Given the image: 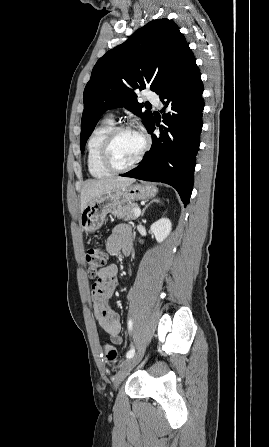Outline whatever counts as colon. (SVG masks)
<instances>
[{"label":"colon","instance_id":"colon-1","mask_svg":"<svg viewBox=\"0 0 269 447\" xmlns=\"http://www.w3.org/2000/svg\"><path fill=\"white\" fill-rule=\"evenodd\" d=\"M105 244V238H96V242ZM84 260L86 263V274L89 279L99 278L101 271L108 263V253L101 247L92 248L85 252ZM104 356L110 360H116L119 357L118 349L110 342H104L101 346Z\"/></svg>","mask_w":269,"mask_h":447}]
</instances>
